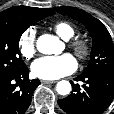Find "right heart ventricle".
<instances>
[{"instance_id": "obj_1", "label": "right heart ventricle", "mask_w": 114, "mask_h": 114, "mask_svg": "<svg viewBox=\"0 0 114 114\" xmlns=\"http://www.w3.org/2000/svg\"><path fill=\"white\" fill-rule=\"evenodd\" d=\"M54 31L63 39L68 40L75 34V28L66 21H59L53 25Z\"/></svg>"}]
</instances>
